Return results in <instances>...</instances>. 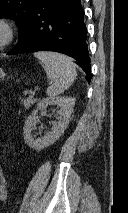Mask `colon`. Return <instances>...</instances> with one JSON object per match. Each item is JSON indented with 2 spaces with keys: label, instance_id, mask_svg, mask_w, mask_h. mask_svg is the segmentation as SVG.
Segmentation results:
<instances>
[{
  "label": "colon",
  "instance_id": "5ec220e1",
  "mask_svg": "<svg viewBox=\"0 0 128 213\" xmlns=\"http://www.w3.org/2000/svg\"><path fill=\"white\" fill-rule=\"evenodd\" d=\"M7 197H8V191L6 187V181H5L3 171L0 167V202H4L5 200H7Z\"/></svg>",
  "mask_w": 128,
  "mask_h": 213
}]
</instances>
